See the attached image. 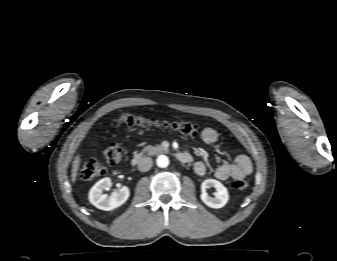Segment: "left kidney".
I'll return each mask as SVG.
<instances>
[{"label": "left kidney", "mask_w": 337, "mask_h": 261, "mask_svg": "<svg viewBox=\"0 0 337 261\" xmlns=\"http://www.w3.org/2000/svg\"><path fill=\"white\" fill-rule=\"evenodd\" d=\"M214 187L216 189L215 197H210L206 189ZM201 200L211 208H222L229 200V194L227 188L219 181L215 179H206L201 184Z\"/></svg>", "instance_id": "1"}]
</instances>
